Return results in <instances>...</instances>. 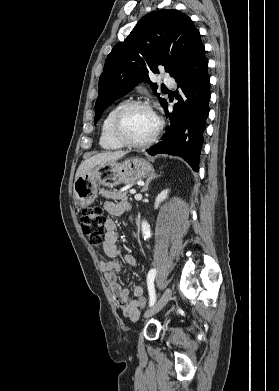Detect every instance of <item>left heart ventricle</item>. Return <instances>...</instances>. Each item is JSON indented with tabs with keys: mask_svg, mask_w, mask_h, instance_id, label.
Returning a JSON list of instances; mask_svg holds the SVG:
<instances>
[{
	"mask_svg": "<svg viewBox=\"0 0 279 391\" xmlns=\"http://www.w3.org/2000/svg\"><path fill=\"white\" fill-rule=\"evenodd\" d=\"M157 126V119L152 111L144 107L129 110L123 119V132L133 141L149 138Z\"/></svg>",
	"mask_w": 279,
	"mask_h": 391,
	"instance_id": "b2bd125f",
	"label": "left heart ventricle"
}]
</instances>
